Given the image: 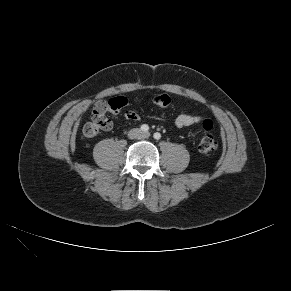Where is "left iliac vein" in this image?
<instances>
[{
  "instance_id": "left-iliac-vein-1",
  "label": "left iliac vein",
  "mask_w": 291,
  "mask_h": 291,
  "mask_svg": "<svg viewBox=\"0 0 291 291\" xmlns=\"http://www.w3.org/2000/svg\"><path fill=\"white\" fill-rule=\"evenodd\" d=\"M150 137V133L146 132V133H142L141 134V138L146 139Z\"/></svg>"
}]
</instances>
